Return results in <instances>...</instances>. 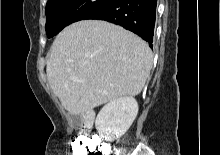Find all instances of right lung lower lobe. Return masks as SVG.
Returning <instances> with one entry per match:
<instances>
[{"instance_id":"1","label":"right lung lower lobe","mask_w":220,"mask_h":155,"mask_svg":"<svg viewBox=\"0 0 220 155\" xmlns=\"http://www.w3.org/2000/svg\"><path fill=\"white\" fill-rule=\"evenodd\" d=\"M157 0H114L85 19L105 20L139 35L152 47Z\"/></svg>"}]
</instances>
